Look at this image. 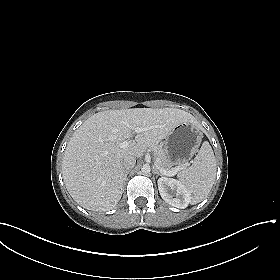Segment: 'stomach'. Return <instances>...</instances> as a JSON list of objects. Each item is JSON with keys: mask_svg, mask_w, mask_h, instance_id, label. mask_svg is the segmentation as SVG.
Returning <instances> with one entry per match:
<instances>
[{"mask_svg": "<svg viewBox=\"0 0 280 280\" xmlns=\"http://www.w3.org/2000/svg\"><path fill=\"white\" fill-rule=\"evenodd\" d=\"M202 132L191 122H183L177 125L165 138L164 149L167 157L173 164H184L197 152Z\"/></svg>", "mask_w": 280, "mask_h": 280, "instance_id": "stomach-1", "label": "stomach"}]
</instances>
